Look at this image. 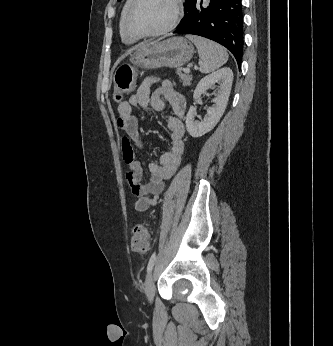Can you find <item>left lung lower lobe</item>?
Segmentation results:
<instances>
[{
    "mask_svg": "<svg viewBox=\"0 0 333 346\" xmlns=\"http://www.w3.org/2000/svg\"><path fill=\"white\" fill-rule=\"evenodd\" d=\"M174 33L194 34L226 47L239 63L243 55L241 0H190Z\"/></svg>",
    "mask_w": 333,
    "mask_h": 346,
    "instance_id": "obj_1",
    "label": "left lung lower lobe"
}]
</instances>
